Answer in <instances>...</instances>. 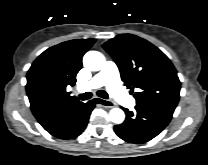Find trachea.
Instances as JSON below:
<instances>
[{
	"label": "trachea",
	"instance_id": "1",
	"mask_svg": "<svg viewBox=\"0 0 208 165\" xmlns=\"http://www.w3.org/2000/svg\"><path fill=\"white\" fill-rule=\"evenodd\" d=\"M97 95L101 98H104V99L109 98L108 94L103 90L97 91ZM91 96H92L91 92H85V93L79 95V99L80 100H88L91 98Z\"/></svg>",
	"mask_w": 208,
	"mask_h": 165
}]
</instances>
